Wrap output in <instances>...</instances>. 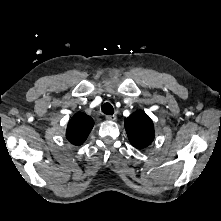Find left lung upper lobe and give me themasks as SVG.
Listing matches in <instances>:
<instances>
[{
    "mask_svg": "<svg viewBox=\"0 0 221 221\" xmlns=\"http://www.w3.org/2000/svg\"><path fill=\"white\" fill-rule=\"evenodd\" d=\"M130 143L138 148L149 146L154 139L152 120L144 111L138 110L131 114L124 122Z\"/></svg>",
    "mask_w": 221,
    "mask_h": 221,
    "instance_id": "1",
    "label": "left lung upper lobe"
}]
</instances>
